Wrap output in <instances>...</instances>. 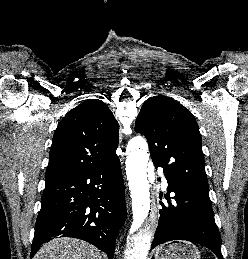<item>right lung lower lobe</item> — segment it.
<instances>
[{
  "label": "right lung lower lobe",
  "instance_id": "right-lung-lower-lobe-1",
  "mask_svg": "<svg viewBox=\"0 0 248 259\" xmlns=\"http://www.w3.org/2000/svg\"><path fill=\"white\" fill-rule=\"evenodd\" d=\"M45 181L30 258L43 243L60 236L85 240L113 259L116 237L126 218L118 156Z\"/></svg>",
  "mask_w": 248,
  "mask_h": 259
}]
</instances>
